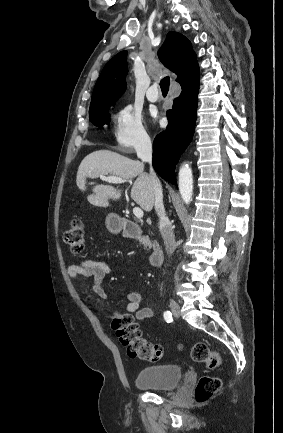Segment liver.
Here are the masks:
<instances>
[{
	"mask_svg": "<svg viewBox=\"0 0 283 433\" xmlns=\"http://www.w3.org/2000/svg\"><path fill=\"white\" fill-rule=\"evenodd\" d=\"M144 164L140 160H131L127 156H122L112 150H95L90 152L79 164L77 172V186L81 190H86V178H96L99 174H109V176H119V178H135L131 188V198L143 208L152 210L154 206L155 194L153 184L148 172H143ZM120 188H114L111 184H96L93 194H88L87 200L95 206H109V200L121 198Z\"/></svg>",
	"mask_w": 283,
	"mask_h": 433,
	"instance_id": "liver-1",
	"label": "liver"
}]
</instances>
